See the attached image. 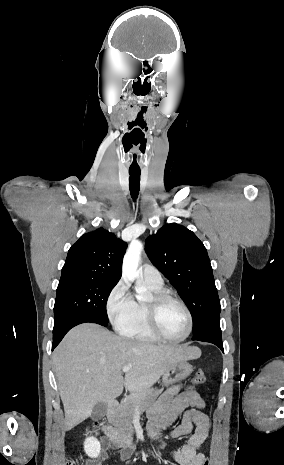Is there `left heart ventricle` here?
Instances as JSON below:
<instances>
[{
	"instance_id": "1",
	"label": "left heart ventricle",
	"mask_w": 284,
	"mask_h": 465,
	"mask_svg": "<svg viewBox=\"0 0 284 465\" xmlns=\"http://www.w3.org/2000/svg\"><path fill=\"white\" fill-rule=\"evenodd\" d=\"M159 327L161 333L169 339L182 338L188 329L185 311L175 303H167L161 311Z\"/></svg>"
}]
</instances>
